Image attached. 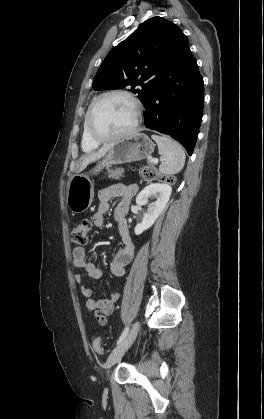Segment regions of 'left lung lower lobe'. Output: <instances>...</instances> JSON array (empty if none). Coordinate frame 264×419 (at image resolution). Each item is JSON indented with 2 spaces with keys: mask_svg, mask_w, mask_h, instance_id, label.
Here are the masks:
<instances>
[{
  "mask_svg": "<svg viewBox=\"0 0 264 419\" xmlns=\"http://www.w3.org/2000/svg\"><path fill=\"white\" fill-rule=\"evenodd\" d=\"M204 86L187 37L174 45L170 74L155 82L144 103L145 126L170 135L192 155L203 113Z\"/></svg>",
  "mask_w": 264,
  "mask_h": 419,
  "instance_id": "1",
  "label": "left lung lower lobe"
}]
</instances>
